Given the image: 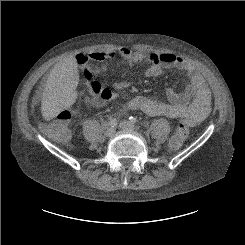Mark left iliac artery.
<instances>
[{
	"label": "left iliac artery",
	"mask_w": 245,
	"mask_h": 245,
	"mask_svg": "<svg viewBox=\"0 0 245 245\" xmlns=\"http://www.w3.org/2000/svg\"><path fill=\"white\" fill-rule=\"evenodd\" d=\"M129 122L134 124L137 122V119L135 117L131 116V117H129Z\"/></svg>",
	"instance_id": "44dca946"
}]
</instances>
